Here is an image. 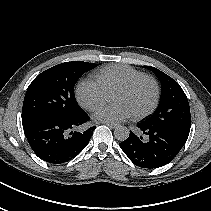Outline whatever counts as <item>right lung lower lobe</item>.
<instances>
[{
	"instance_id": "98d812e1",
	"label": "right lung lower lobe",
	"mask_w": 211,
	"mask_h": 211,
	"mask_svg": "<svg viewBox=\"0 0 211 211\" xmlns=\"http://www.w3.org/2000/svg\"><path fill=\"white\" fill-rule=\"evenodd\" d=\"M86 112L71 118H52L22 122L26 138L42 160L61 164L76 157L89 143L95 126L84 132L73 131L89 121Z\"/></svg>"
}]
</instances>
